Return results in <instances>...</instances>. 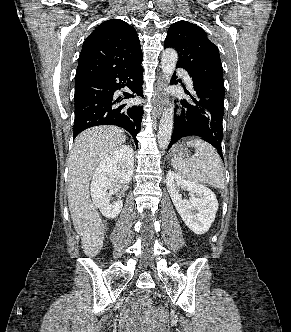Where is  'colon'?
Wrapping results in <instances>:
<instances>
[{
  "label": "colon",
  "mask_w": 291,
  "mask_h": 332,
  "mask_svg": "<svg viewBox=\"0 0 291 332\" xmlns=\"http://www.w3.org/2000/svg\"><path fill=\"white\" fill-rule=\"evenodd\" d=\"M142 303H143L144 307L146 308V310H154L152 303L149 299L143 298ZM162 311H163V313H165L164 310H162Z\"/></svg>",
  "instance_id": "5ec220e1"
}]
</instances>
